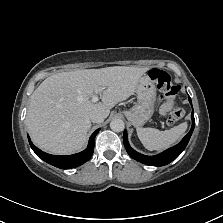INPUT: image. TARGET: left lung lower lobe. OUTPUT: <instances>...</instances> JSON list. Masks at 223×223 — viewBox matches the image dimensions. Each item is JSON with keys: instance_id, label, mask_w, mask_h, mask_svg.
Returning <instances> with one entry per match:
<instances>
[{"instance_id": "left-lung-lower-lobe-1", "label": "left lung lower lobe", "mask_w": 223, "mask_h": 223, "mask_svg": "<svg viewBox=\"0 0 223 223\" xmlns=\"http://www.w3.org/2000/svg\"><path fill=\"white\" fill-rule=\"evenodd\" d=\"M189 102L192 105V101L191 98L189 97ZM191 119H192V127L191 130L189 131V133L181 140V142L179 144H177L176 146L167 149L166 151L155 155V156H145L142 155L138 152H136L135 150H133L129 143H128V137H127V132L126 130L123 133V142H124V146L125 149L127 151V153L135 160L146 164V165H151V166H164L169 164L170 162H172L173 160H175L186 148L190 137L192 135V132L194 130V126H195V119H194V111L192 109V113H191Z\"/></svg>"}]
</instances>
